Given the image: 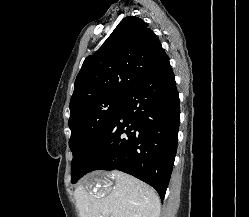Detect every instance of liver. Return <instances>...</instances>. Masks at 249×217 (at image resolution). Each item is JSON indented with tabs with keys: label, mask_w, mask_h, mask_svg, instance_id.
Returning <instances> with one entry per match:
<instances>
[{
	"label": "liver",
	"mask_w": 249,
	"mask_h": 217,
	"mask_svg": "<svg viewBox=\"0 0 249 217\" xmlns=\"http://www.w3.org/2000/svg\"><path fill=\"white\" fill-rule=\"evenodd\" d=\"M111 180L115 181L112 185ZM96 192L80 184L74 191L80 217H159L160 199L153 188L140 180L114 170L94 172L86 178Z\"/></svg>",
	"instance_id": "1"
}]
</instances>
